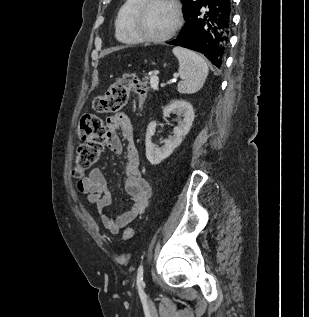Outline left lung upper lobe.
Instances as JSON below:
<instances>
[{"instance_id":"5c2ea615","label":"left lung upper lobe","mask_w":309,"mask_h":317,"mask_svg":"<svg viewBox=\"0 0 309 317\" xmlns=\"http://www.w3.org/2000/svg\"><path fill=\"white\" fill-rule=\"evenodd\" d=\"M183 3V13L186 14L193 8L201 4L203 0H181Z\"/></svg>"}]
</instances>
